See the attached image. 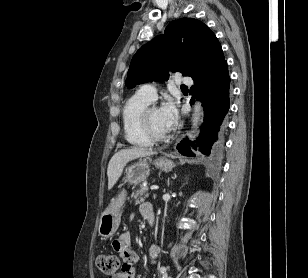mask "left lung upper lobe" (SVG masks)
I'll return each instance as SVG.
<instances>
[{
    "mask_svg": "<svg viewBox=\"0 0 308 278\" xmlns=\"http://www.w3.org/2000/svg\"><path fill=\"white\" fill-rule=\"evenodd\" d=\"M224 60L218 39L203 22L193 18L174 20L163 35L135 53L125 86L130 89L148 81L167 80L169 71L193 79L203 77Z\"/></svg>",
    "mask_w": 308,
    "mask_h": 278,
    "instance_id": "1",
    "label": "left lung upper lobe"
}]
</instances>
